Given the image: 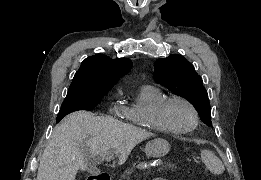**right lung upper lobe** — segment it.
Instances as JSON below:
<instances>
[{
	"mask_svg": "<svg viewBox=\"0 0 261 180\" xmlns=\"http://www.w3.org/2000/svg\"><path fill=\"white\" fill-rule=\"evenodd\" d=\"M131 67L132 62L127 58L113 60L103 54L88 57L82 62L68 91L107 93Z\"/></svg>",
	"mask_w": 261,
	"mask_h": 180,
	"instance_id": "right-lung-upper-lobe-1",
	"label": "right lung upper lobe"
}]
</instances>
